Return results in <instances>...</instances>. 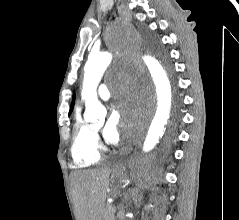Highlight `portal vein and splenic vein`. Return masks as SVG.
Here are the masks:
<instances>
[{
  "mask_svg": "<svg viewBox=\"0 0 239 220\" xmlns=\"http://www.w3.org/2000/svg\"><path fill=\"white\" fill-rule=\"evenodd\" d=\"M116 211V207H113V212H115Z\"/></svg>",
  "mask_w": 239,
  "mask_h": 220,
  "instance_id": "portal-vein-and-splenic-vein-1",
  "label": "portal vein and splenic vein"
}]
</instances>
